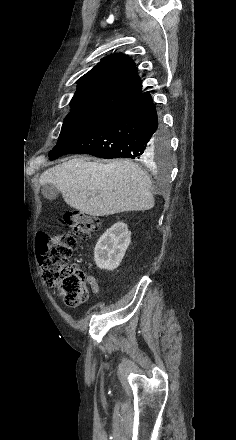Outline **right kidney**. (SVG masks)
Masks as SVG:
<instances>
[{
  "label": "right kidney",
  "mask_w": 236,
  "mask_h": 440,
  "mask_svg": "<svg viewBox=\"0 0 236 440\" xmlns=\"http://www.w3.org/2000/svg\"><path fill=\"white\" fill-rule=\"evenodd\" d=\"M131 232L123 222L111 226L98 240L94 249V260L100 269H116L130 245Z\"/></svg>",
  "instance_id": "1"
}]
</instances>
